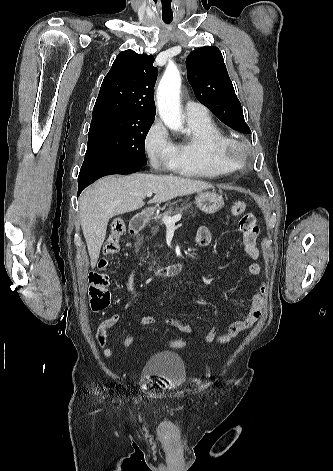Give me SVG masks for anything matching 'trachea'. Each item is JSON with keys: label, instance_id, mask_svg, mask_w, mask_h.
<instances>
[{"label": "trachea", "instance_id": "obj_1", "mask_svg": "<svg viewBox=\"0 0 333 471\" xmlns=\"http://www.w3.org/2000/svg\"><path fill=\"white\" fill-rule=\"evenodd\" d=\"M164 22H165V23H170V22H171V20H164Z\"/></svg>", "mask_w": 333, "mask_h": 471}]
</instances>
